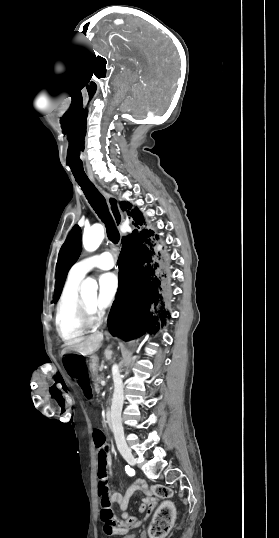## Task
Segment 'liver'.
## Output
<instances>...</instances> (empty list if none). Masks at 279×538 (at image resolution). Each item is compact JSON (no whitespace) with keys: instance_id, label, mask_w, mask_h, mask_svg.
Listing matches in <instances>:
<instances>
[{"instance_id":"6515ba94","label":"liver","mask_w":279,"mask_h":538,"mask_svg":"<svg viewBox=\"0 0 279 538\" xmlns=\"http://www.w3.org/2000/svg\"><path fill=\"white\" fill-rule=\"evenodd\" d=\"M103 340V334L98 332V334H93V336H88L83 342H77V344H67L68 350H74V352H79L82 356H88V354H95L100 348V344Z\"/></svg>"}]
</instances>
